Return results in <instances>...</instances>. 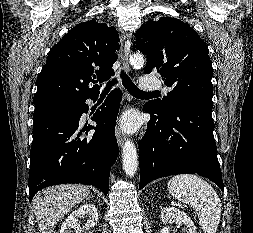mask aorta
<instances>
[{"label":"aorta","instance_id":"762f6f07","mask_svg":"<svg viewBox=\"0 0 253 233\" xmlns=\"http://www.w3.org/2000/svg\"><path fill=\"white\" fill-rule=\"evenodd\" d=\"M145 63L144 57L141 54H134L130 57V64L135 68L143 67ZM123 169L125 173L132 177L135 175L138 168V155L134 143L127 140L123 146Z\"/></svg>","mask_w":253,"mask_h":233}]
</instances>
